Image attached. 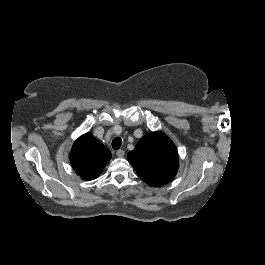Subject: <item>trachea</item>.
<instances>
[{
    "instance_id": "3493384b",
    "label": "trachea",
    "mask_w": 265,
    "mask_h": 265,
    "mask_svg": "<svg viewBox=\"0 0 265 265\" xmlns=\"http://www.w3.org/2000/svg\"><path fill=\"white\" fill-rule=\"evenodd\" d=\"M111 145L113 149H119L122 145V139L120 137L114 138Z\"/></svg>"
}]
</instances>
